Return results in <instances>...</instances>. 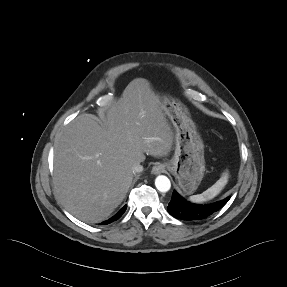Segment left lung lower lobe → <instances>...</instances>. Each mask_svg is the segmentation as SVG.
I'll return each instance as SVG.
<instances>
[{
	"mask_svg": "<svg viewBox=\"0 0 287 287\" xmlns=\"http://www.w3.org/2000/svg\"><path fill=\"white\" fill-rule=\"evenodd\" d=\"M229 199L230 196L213 204L197 205L186 201L176 191H174L167 210L177 219L200 220L218 211L228 202Z\"/></svg>",
	"mask_w": 287,
	"mask_h": 287,
	"instance_id": "1",
	"label": "left lung lower lobe"
}]
</instances>
